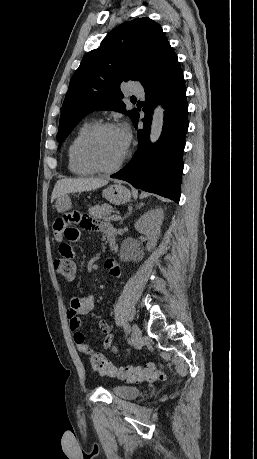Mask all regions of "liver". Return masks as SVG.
<instances>
[{
    "mask_svg": "<svg viewBox=\"0 0 257 459\" xmlns=\"http://www.w3.org/2000/svg\"><path fill=\"white\" fill-rule=\"evenodd\" d=\"M108 181L100 178H65L58 180L52 192L51 202L68 193L91 191L107 185Z\"/></svg>",
    "mask_w": 257,
    "mask_h": 459,
    "instance_id": "obj_1",
    "label": "liver"
}]
</instances>
